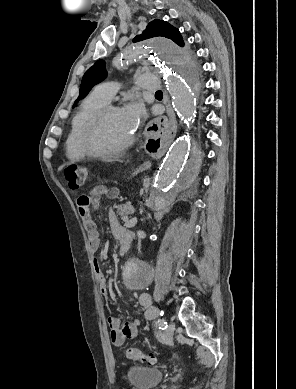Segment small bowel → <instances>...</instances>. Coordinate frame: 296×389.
Segmentation results:
<instances>
[{
	"label": "small bowel",
	"instance_id": "obj_1",
	"mask_svg": "<svg viewBox=\"0 0 296 389\" xmlns=\"http://www.w3.org/2000/svg\"><path fill=\"white\" fill-rule=\"evenodd\" d=\"M118 194L117 188H106L105 186H96L88 194L80 196L77 200L78 211L82 220V223L87 231L90 248L93 252L99 250L101 241L99 238V232L97 230L96 223L94 221L92 212L97 209L99 201L102 197L115 198ZM109 224L112 234L121 239L125 236H131L130 232L125 229L118 221V218L114 211L109 213ZM94 266L97 279L100 283L101 294L108 298L109 292L106 283V278L101 270L100 263L97 259L94 260ZM138 302L141 307L144 308V317L150 319L154 315V306L152 304V298L147 293L140 294ZM107 324L110 330V340L114 346H122L126 340L133 339L138 333L139 321H129L124 324L120 319L115 316H109Z\"/></svg>",
	"mask_w": 296,
	"mask_h": 389
}]
</instances>
